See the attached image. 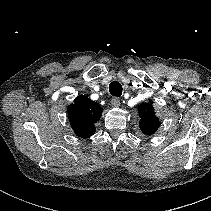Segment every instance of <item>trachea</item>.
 Instances as JSON below:
<instances>
[{"label": "trachea", "instance_id": "obj_1", "mask_svg": "<svg viewBox=\"0 0 211 211\" xmlns=\"http://www.w3.org/2000/svg\"><path fill=\"white\" fill-rule=\"evenodd\" d=\"M109 92L112 96L119 97L122 94V85L118 81H113L109 85Z\"/></svg>", "mask_w": 211, "mask_h": 211}]
</instances>
